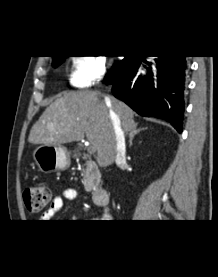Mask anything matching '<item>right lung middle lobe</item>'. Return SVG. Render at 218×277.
Listing matches in <instances>:
<instances>
[{
	"instance_id": "1",
	"label": "right lung middle lobe",
	"mask_w": 218,
	"mask_h": 277,
	"mask_svg": "<svg viewBox=\"0 0 218 277\" xmlns=\"http://www.w3.org/2000/svg\"><path fill=\"white\" fill-rule=\"evenodd\" d=\"M65 57L66 56H60V57L52 60L53 67L59 66L65 60ZM131 59H132V57H125L121 61L115 62L114 65L112 66L111 70L106 74V80L108 82H112L115 79L120 68L123 65L127 64Z\"/></svg>"
}]
</instances>
